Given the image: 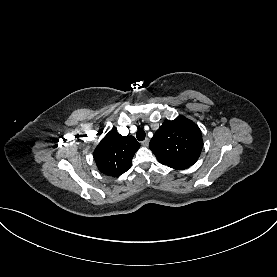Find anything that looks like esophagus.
Here are the masks:
<instances>
[{
  "instance_id": "obj_1",
  "label": "esophagus",
  "mask_w": 277,
  "mask_h": 277,
  "mask_svg": "<svg viewBox=\"0 0 277 277\" xmlns=\"http://www.w3.org/2000/svg\"><path fill=\"white\" fill-rule=\"evenodd\" d=\"M141 145L147 147L149 145V139H145L144 141H142Z\"/></svg>"
}]
</instances>
